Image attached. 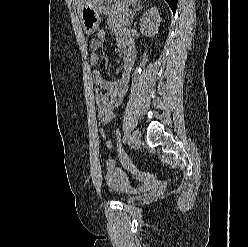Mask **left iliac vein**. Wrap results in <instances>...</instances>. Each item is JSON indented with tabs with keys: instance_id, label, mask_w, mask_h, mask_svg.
<instances>
[{
	"instance_id": "4c4485c4",
	"label": "left iliac vein",
	"mask_w": 248,
	"mask_h": 247,
	"mask_svg": "<svg viewBox=\"0 0 248 247\" xmlns=\"http://www.w3.org/2000/svg\"><path fill=\"white\" fill-rule=\"evenodd\" d=\"M132 139H133V144L135 146H138L141 141V131L139 129H136L133 132Z\"/></svg>"
}]
</instances>
